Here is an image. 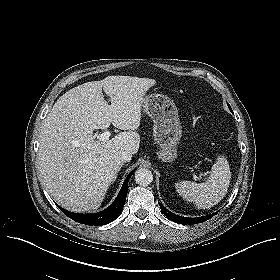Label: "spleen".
Listing matches in <instances>:
<instances>
[{"instance_id": "3e777b00", "label": "spleen", "mask_w": 280, "mask_h": 280, "mask_svg": "<svg viewBox=\"0 0 280 280\" xmlns=\"http://www.w3.org/2000/svg\"><path fill=\"white\" fill-rule=\"evenodd\" d=\"M231 179L228 161L224 155L217 157L209 178L203 183L181 181L175 184L180 196L200 208H210L226 195Z\"/></svg>"}]
</instances>
